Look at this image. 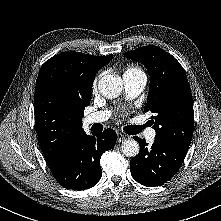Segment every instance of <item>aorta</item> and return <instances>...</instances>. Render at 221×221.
I'll return each mask as SVG.
<instances>
[{
	"instance_id": "obj_1",
	"label": "aorta",
	"mask_w": 221,
	"mask_h": 221,
	"mask_svg": "<svg viewBox=\"0 0 221 221\" xmlns=\"http://www.w3.org/2000/svg\"><path fill=\"white\" fill-rule=\"evenodd\" d=\"M100 93L109 99L118 97L123 89V82L118 75H105L98 82ZM139 144L134 139L122 143L121 150L125 156L135 157L139 153Z\"/></svg>"
}]
</instances>
